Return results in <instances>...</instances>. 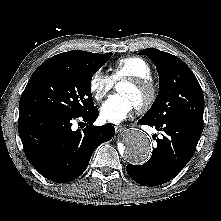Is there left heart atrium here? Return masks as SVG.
<instances>
[{
    "instance_id": "left-heart-atrium-1",
    "label": "left heart atrium",
    "mask_w": 221,
    "mask_h": 221,
    "mask_svg": "<svg viewBox=\"0 0 221 221\" xmlns=\"http://www.w3.org/2000/svg\"><path fill=\"white\" fill-rule=\"evenodd\" d=\"M136 106L131 99L125 94L111 95L100 107V117L102 120L110 123H120Z\"/></svg>"
}]
</instances>
